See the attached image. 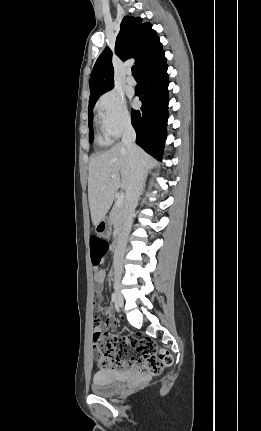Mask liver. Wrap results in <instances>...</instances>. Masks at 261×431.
<instances>
[{
	"label": "liver",
	"mask_w": 261,
	"mask_h": 431,
	"mask_svg": "<svg viewBox=\"0 0 261 431\" xmlns=\"http://www.w3.org/2000/svg\"><path fill=\"white\" fill-rule=\"evenodd\" d=\"M144 170L157 162L137 147ZM132 168L126 146L118 143L108 151L94 156L89 164L88 199L93 225L101 221L110 209L115 192L130 186Z\"/></svg>",
	"instance_id": "obj_1"
}]
</instances>
